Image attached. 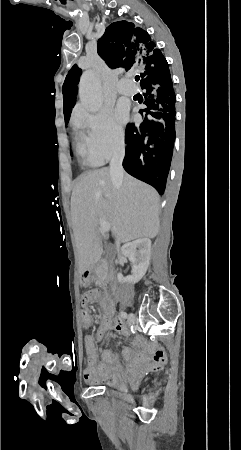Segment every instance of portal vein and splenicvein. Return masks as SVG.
<instances>
[{"label": "portal vein and splenic vein", "instance_id": "obj_1", "mask_svg": "<svg viewBox=\"0 0 241 450\" xmlns=\"http://www.w3.org/2000/svg\"><path fill=\"white\" fill-rule=\"evenodd\" d=\"M101 232H109L110 226L106 222H100Z\"/></svg>", "mask_w": 241, "mask_h": 450}]
</instances>
